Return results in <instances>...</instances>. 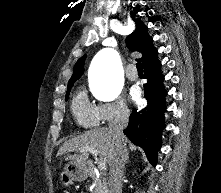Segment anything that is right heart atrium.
Returning <instances> with one entry per match:
<instances>
[{
	"instance_id": "1",
	"label": "right heart atrium",
	"mask_w": 221,
	"mask_h": 193,
	"mask_svg": "<svg viewBox=\"0 0 221 193\" xmlns=\"http://www.w3.org/2000/svg\"><path fill=\"white\" fill-rule=\"evenodd\" d=\"M98 116L103 124L111 123L116 120L125 119L129 116V108L125 100L116 98L110 102L97 105Z\"/></svg>"
}]
</instances>
